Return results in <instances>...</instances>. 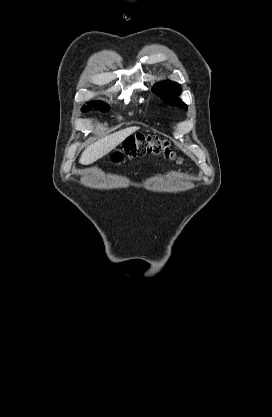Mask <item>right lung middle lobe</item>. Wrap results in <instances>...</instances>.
I'll use <instances>...</instances> for the list:
<instances>
[{"label":"right lung middle lobe","mask_w":272,"mask_h":417,"mask_svg":"<svg viewBox=\"0 0 272 417\" xmlns=\"http://www.w3.org/2000/svg\"><path fill=\"white\" fill-rule=\"evenodd\" d=\"M90 106H84L81 111H87L88 109L91 110V107H94L97 110H101V111H108L109 107L107 105L102 104L101 102H92L89 103Z\"/></svg>","instance_id":"obj_1"}]
</instances>
